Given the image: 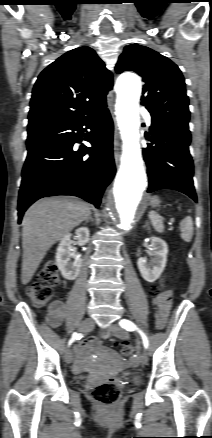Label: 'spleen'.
I'll list each match as a JSON object with an SVG mask.
<instances>
[{"label":"spleen","mask_w":212,"mask_h":438,"mask_svg":"<svg viewBox=\"0 0 212 438\" xmlns=\"http://www.w3.org/2000/svg\"><path fill=\"white\" fill-rule=\"evenodd\" d=\"M149 218L151 220V223L155 230L157 232H163L164 231V225L162 220L159 218V216L154 211L149 212ZM180 230H181V238L185 242H190L192 240L193 236V220L190 216L185 217L181 223H180Z\"/></svg>","instance_id":"1"}]
</instances>
